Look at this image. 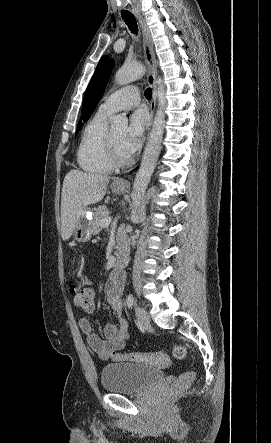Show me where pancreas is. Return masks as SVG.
Masks as SVG:
<instances>
[{
  "label": "pancreas",
  "instance_id": "cf45deb5",
  "mask_svg": "<svg viewBox=\"0 0 271 443\" xmlns=\"http://www.w3.org/2000/svg\"><path fill=\"white\" fill-rule=\"evenodd\" d=\"M108 214L109 212L106 206H99V208H97L94 214V220L91 222L93 233H98V231H100L101 227H103V225H100V222L101 220H104V218H107Z\"/></svg>",
  "mask_w": 271,
  "mask_h": 443
}]
</instances>
